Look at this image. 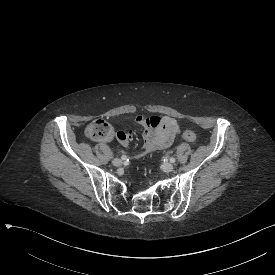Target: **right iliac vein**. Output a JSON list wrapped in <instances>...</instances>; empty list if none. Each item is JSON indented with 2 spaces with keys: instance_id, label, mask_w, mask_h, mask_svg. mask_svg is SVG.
Wrapping results in <instances>:
<instances>
[{
  "instance_id": "63e3f726",
  "label": "right iliac vein",
  "mask_w": 275,
  "mask_h": 275,
  "mask_svg": "<svg viewBox=\"0 0 275 275\" xmlns=\"http://www.w3.org/2000/svg\"><path fill=\"white\" fill-rule=\"evenodd\" d=\"M112 164L114 166H120L122 164V160L119 159V158H115V159L112 160Z\"/></svg>"
}]
</instances>
